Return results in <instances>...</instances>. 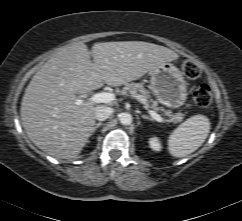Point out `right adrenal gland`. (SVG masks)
Here are the masks:
<instances>
[{
  "instance_id": "right-adrenal-gland-1",
  "label": "right adrenal gland",
  "mask_w": 242,
  "mask_h": 221,
  "mask_svg": "<svg viewBox=\"0 0 242 221\" xmlns=\"http://www.w3.org/2000/svg\"><path fill=\"white\" fill-rule=\"evenodd\" d=\"M102 125V122H98L97 124H95L94 128H93V133Z\"/></svg>"
}]
</instances>
